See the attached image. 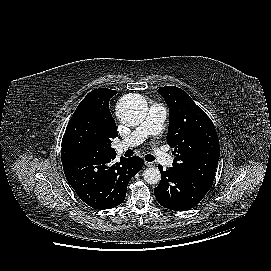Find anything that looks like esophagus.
Listing matches in <instances>:
<instances>
[{"mask_svg": "<svg viewBox=\"0 0 271 271\" xmlns=\"http://www.w3.org/2000/svg\"><path fill=\"white\" fill-rule=\"evenodd\" d=\"M144 164H145V166H147V167L153 166V163L148 162V161H144Z\"/></svg>", "mask_w": 271, "mask_h": 271, "instance_id": "obj_1", "label": "esophagus"}]
</instances>
